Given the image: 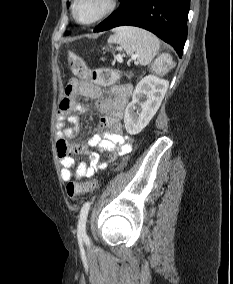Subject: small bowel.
<instances>
[{"label": "small bowel", "instance_id": "small-bowel-1", "mask_svg": "<svg viewBox=\"0 0 233 284\" xmlns=\"http://www.w3.org/2000/svg\"><path fill=\"white\" fill-rule=\"evenodd\" d=\"M131 90L129 84L115 85L110 89L109 96L104 97L101 89L89 81L75 78L69 81L58 109L61 131L57 142V153L62 165L63 181L89 178L98 170L106 168L118 155L130 152L131 143L123 132L121 121ZM79 96L94 99L102 117L98 133L92 135L87 143L70 144L67 139L73 138L78 133V116L85 111V107L78 101ZM64 121H68L72 127L63 128ZM90 147H93L94 151H90ZM103 152L108 154L105 161L100 160V154ZM75 155H87L88 162H80L73 170Z\"/></svg>", "mask_w": 233, "mask_h": 284}]
</instances>
